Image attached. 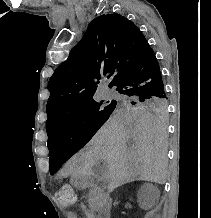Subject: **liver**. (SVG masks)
Listing matches in <instances>:
<instances>
[{"mask_svg":"<svg viewBox=\"0 0 211 218\" xmlns=\"http://www.w3.org/2000/svg\"><path fill=\"white\" fill-rule=\"evenodd\" d=\"M98 162L107 164L114 186L134 180L164 184L166 130L150 112L116 110L86 148L67 162L63 174L91 176Z\"/></svg>","mask_w":211,"mask_h":218,"instance_id":"1","label":"liver"}]
</instances>
